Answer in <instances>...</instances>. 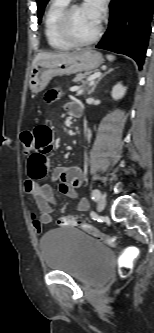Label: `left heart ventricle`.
Returning a JSON list of instances; mask_svg holds the SVG:
<instances>
[{
	"mask_svg": "<svg viewBox=\"0 0 154 333\" xmlns=\"http://www.w3.org/2000/svg\"><path fill=\"white\" fill-rule=\"evenodd\" d=\"M71 29L80 39H89L97 31L99 21L96 20L83 6L77 7L71 14Z\"/></svg>",
	"mask_w": 154,
	"mask_h": 333,
	"instance_id": "b2bd125f",
	"label": "left heart ventricle"
}]
</instances>
